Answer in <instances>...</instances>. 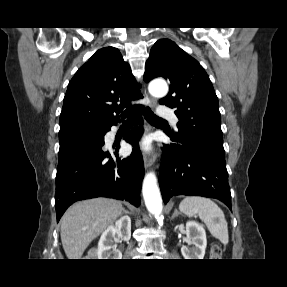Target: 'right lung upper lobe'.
<instances>
[{
	"label": "right lung upper lobe",
	"mask_w": 287,
	"mask_h": 287,
	"mask_svg": "<svg viewBox=\"0 0 287 287\" xmlns=\"http://www.w3.org/2000/svg\"><path fill=\"white\" fill-rule=\"evenodd\" d=\"M118 49L98 50L68 84L60 114V127L84 122L105 126L126 116L141 105L131 100L142 98L140 85ZM116 114V115H115Z\"/></svg>",
	"instance_id": "obj_1"
}]
</instances>
